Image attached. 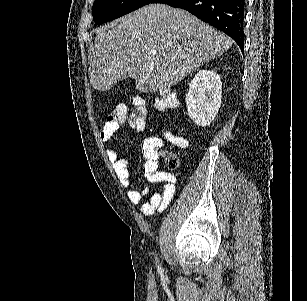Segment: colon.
Returning <instances> with one entry per match:
<instances>
[{
  "label": "colon",
  "instance_id": "colon-1",
  "mask_svg": "<svg viewBox=\"0 0 307 301\" xmlns=\"http://www.w3.org/2000/svg\"><path fill=\"white\" fill-rule=\"evenodd\" d=\"M154 106L157 110L167 111L175 110L179 107V102L176 94L171 90H163L154 99ZM133 110L128 114L125 105L116 106L107 116L106 122L110 124L125 123L135 130H143L146 126L148 110L143 98L136 96L131 101ZM170 141L176 146L183 147L187 144L186 139L183 137L170 135ZM163 158L166 166L169 169H176L179 165L178 155L173 152H164Z\"/></svg>",
  "mask_w": 307,
  "mask_h": 301
}]
</instances>
